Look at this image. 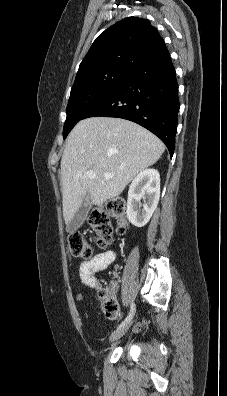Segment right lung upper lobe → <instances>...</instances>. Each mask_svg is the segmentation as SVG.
<instances>
[{
	"instance_id": "right-lung-upper-lobe-1",
	"label": "right lung upper lobe",
	"mask_w": 227,
	"mask_h": 396,
	"mask_svg": "<svg viewBox=\"0 0 227 396\" xmlns=\"http://www.w3.org/2000/svg\"><path fill=\"white\" fill-rule=\"evenodd\" d=\"M165 47L159 32L147 19L125 18L97 37L79 66L74 84L111 68L133 70Z\"/></svg>"
}]
</instances>
